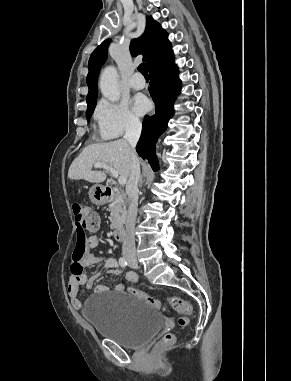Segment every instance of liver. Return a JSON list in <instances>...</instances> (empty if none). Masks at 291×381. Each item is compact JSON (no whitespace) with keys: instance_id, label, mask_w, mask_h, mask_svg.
I'll return each instance as SVG.
<instances>
[{"instance_id":"1","label":"liver","mask_w":291,"mask_h":381,"mask_svg":"<svg viewBox=\"0 0 291 381\" xmlns=\"http://www.w3.org/2000/svg\"><path fill=\"white\" fill-rule=\"evenodd\" d=\"M130 145L124 139L107 143H95L84 148L69 167L68 177L72 180L84 179L91 183L103 182L107 175L104 171H93L95 163L113 167L120 177L128 181L130 176Z\"/></svg>"}]
</instances>
